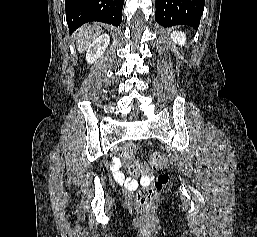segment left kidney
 Segmentation results:
<instances>
[{"label":"left kidney","mask_w":257,"mask_h":237,"mask_svg":"<svg viewBox=\"0 0 257 237\" xmlns=\"http://www.w3.org/2000/svg\"><path fill=\"white\" fill-rule=\"evenodd\" d=\"M171 39L175 44H179V45H185L186 42V35L182 32L179 31H174L171 34Z\"/></svg>","instance_id":"left-kidney-1"}]
</instances>
